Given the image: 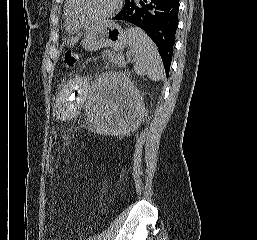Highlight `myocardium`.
<instances>
[{"label": "myocardium", "instance_id": "obj_1", "mask_svg": "<svg viewBox=\"0 0 257 240\" xmlns=\"http://www.w3.org/2000/svg\"><path fill=\"white\" fill-rule=\"evenodd\" d=\"M74 2H75V0H67V14L69 16V19L77 27L87 28V27H91V26L100 24V23L106 21L107 19H109L110 17H112L114 15V13L118 10L121 0H113L112 7L106 13H104L103 15H101L93 20H90V21H81L75 16V14L73 12Z\"/></svg>", "mask_w": 257, "mask_h": 240}]
</instances>
